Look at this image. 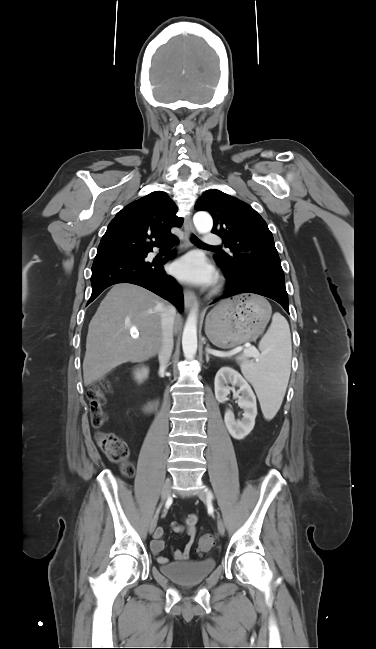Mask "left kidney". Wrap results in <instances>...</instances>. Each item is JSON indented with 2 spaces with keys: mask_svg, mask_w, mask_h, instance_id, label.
<instances>
[{
  "mask_svg": "<svg viewBox=\"0 0 376 649\" xmlns=\"http://www.w3.org/2000/svg\"><path fill=\"white\" fill-rule=\"evenodd\" d=\"M228 383H231L232 387L228 386ZM234 386L239 388L238 391H235ZM214 390L216 399L220 403L228 400L230 391L241 394L238 397V405L244 410L243 418L236 420L232 410L227 409L224 421L233 438L238 440L245 438L254 428L257 416L256 396L247 380L236 370L224 367L215 376Z\"/></svg>",
  "mask_w": 376,
  "mask_h": 649,
  "instance_id": "obj_1",
  "label": "left kidney"
}]
</instances>
